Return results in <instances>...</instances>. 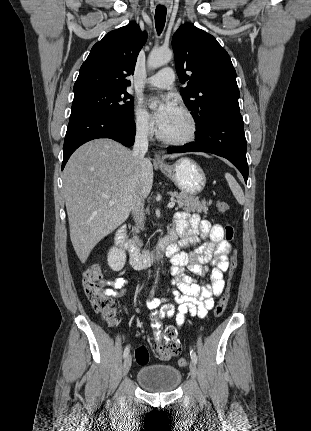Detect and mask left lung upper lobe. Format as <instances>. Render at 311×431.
Instances as JSON below:
<instances>
[{"label": "left lung upper lobe", "instance_id": "obj_1", "mask_svg": "<svg viewBox=\"0 0 311 431\" xmlns=\"http://www.w3.org/2000/svg\"><path fill=\"white\" fill-rule=\"evenodd\" d=\"M172 47L180 82L188 83L180 93L197 130L220 114L239 112L236 71L212 35L186 23L173 35Z\"/></svg>", "mask_w": 311, "mask_h": 431}]
</instances>
